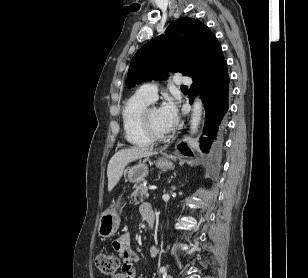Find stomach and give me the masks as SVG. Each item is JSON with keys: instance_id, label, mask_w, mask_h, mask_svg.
Listing matches in <instances>:
<instances>
[{"instance_id": "0dacf381", "label": "stomach", "mask_w": 308, "mask_h": 278, "mask_svg": "<svg viewBox=\"0 0 308 278\" xmlns=\"http://www.w3.org/2000/svg\"><path fill=\"white\" fill-rule=\"evenodd\" d=\"M155 165L163 171H167L173 167V163L166 158H159L155 161ZM127 180L132 183H139L148 175V166L146 159L139 161L137 164L126 169ZM120 200L113 203V205L106 209L100 217L98 225V234L101 238L107 239L113 236L120 225V213L117 209L120 207Z\"/></svg>"}]
</instances>
